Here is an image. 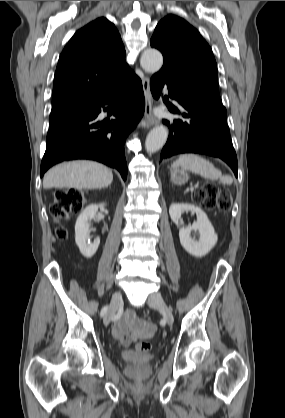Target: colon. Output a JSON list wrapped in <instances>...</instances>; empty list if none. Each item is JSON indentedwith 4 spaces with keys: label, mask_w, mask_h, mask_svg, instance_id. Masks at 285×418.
Returning a JSON list of instances; mask_svg holds the SVG:
<instances>
[{
    "label": "colon",
    "mask_w": 285,
    "mask_h": 418,
    "mask_svg": "<svg viewBox=\"0 0 285 418\" xmlns=\"http://www.w3.org/2000/svg\"><path fill=\"white\" fill-rule=\"evenodd\" d=\"M193 199L204 208H217L223 212L229 211L232 205L230 193L213 183L202 184L198 187L193 192ZM83 204L84 194L81 191L60 189L55 193V200L51 205L50 213L56 221H59L80 213ZM67 234L64 227H60L56 231L59 239H65ZM136 348L141 352H147L151 349V345L148 342H139Z\"/></svg>",
    "instance_id": "obj_1"
}]
</instances>
